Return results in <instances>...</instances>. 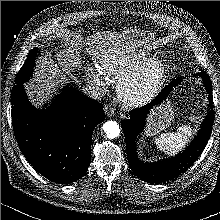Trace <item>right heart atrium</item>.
Here are the masks:
<instances>
[{
  "mask_svg": "<svg viewBox=\"0 0 220 220\" xmlns=\"http://www.w3.org/2000/svg\"><path fill=\"white\" fill-rule=\"evenodd\" d=\"M87 74L95 83L101 84L103 82V75L99 70L88 68Z\"/></svg>",
  "mask_w": 220,
  "mask_h": 220,
  "instance_id": "obj_1",
  "label": "right heart atrium"
}]
</instances>
